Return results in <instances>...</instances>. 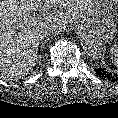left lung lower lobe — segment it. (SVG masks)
<instances>
[{
    "label": "left lung lower lobe",
    "instance_id": "obj_1",
    "mask_svg": "<svg viewBox=\"0 0 118 118\" xmlns=\"http://www.w3.org/2000/svg\"><path fill=\"white\" fill-rule=\"evenodd\" d=\"M94 70L96 71V74L102 79H106L112 82L118 81L117 73H110L104 70L103 68H98V67H96Z\"/></svg>",
    "mask_w": 118,
    "mask_h": 118
}]
</instances>
